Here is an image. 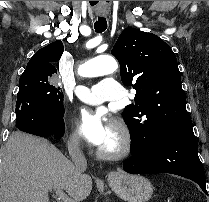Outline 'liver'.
Returning <instances> with one entry per match:
<instances>
[{"instance_id":"6515ba94","label":"liver","mask_w":209,"mask_h":202,"mask_svg":"<svg viewBox=\"0 0 209 202\" xmlns=\"http://www.w3.org/2000/svg\"><path fill=\"white\" fill-rule=\"evenodd\" d=\"M53 189L82 201L91 193L92 179L47 139L13 132L0 161V202H48Z\"/></svg>"}]
</instances>
